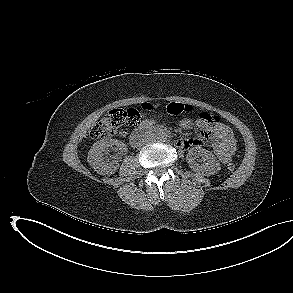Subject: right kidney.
<instances>
[{
  "label": "right kidney",
  "instance_id": "right-kidney-1",
  "mask_svg": "<svg viewBox=\"0 0 293 293\" xmlns=\"http://www.w3.org/2000/svg\"><path fill=\"white\" fill-rule=\"evenodd\" d=\"M117 146L119 150H126V145L115 139H102L93 144L89 150L87 161L90 166L101 175H110L116 172L119 168L117 160H111L105 158V154L108 153L109 148Z\"/></svg>",
  "mask_w": 293,
  "mask_h": 293
}]
</instances>
